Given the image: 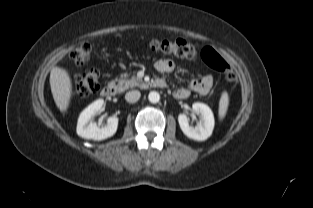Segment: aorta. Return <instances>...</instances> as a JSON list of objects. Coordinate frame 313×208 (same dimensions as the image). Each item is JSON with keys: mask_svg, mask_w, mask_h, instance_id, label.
I'll return each instance as SVG.
<instances>
[{"mask_svg": "<svg viewBox=\"0 0 313 208\" xmlns=\"http://www.w3.org/2000/svg\"><path fill=\"white\" fill-rule=\"evenodd\" d=\"M148 99L151 103H158L160 100V95L156 91H152L148 95Z\"/></svg>", "mask_w": 313, "mask_h": 208, "instance_id": "obj_1", "label": "aorta"}]
</instances>
